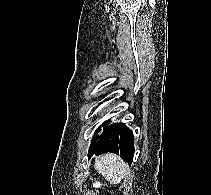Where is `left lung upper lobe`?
I'll return each instance as SVG.
<instances>
[{
    "mask_svg": "<svg viewBox=\"0 0 211 195\" xmlns=\"http://www.w3.org/2000/svg\"><path fill=\"white\" fill-rule=\"evenodd\" d=\"M109 122H110V119L106 120L105 122L102 123V126L105 128L108 125ZM100 128H101V125L98 127V129L96 130V132H95V134L92 138L89 150H91L95 146V144L97 143V141L100 137L99 135H97L98 132H100V130H99Z\"/></svg>",
    "mask_w": 211,
    "mask_h": 195,
    "instance_id": "obj_1",
    "label": "left lung upper lobe"
}]
</instances>
